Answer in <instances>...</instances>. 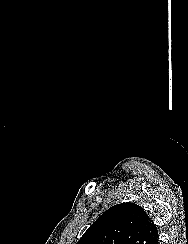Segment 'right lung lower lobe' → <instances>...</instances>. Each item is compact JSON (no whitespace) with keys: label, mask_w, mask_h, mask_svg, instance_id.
<instances>
[{"label":"right lung lower lobe","mask_w":188,"mask_h":244,"mask_svg":"<svg viewBox=\"0 0 188 244\" xmlns=\"http://www.w3.org/2000/svg\"><path fill=\"white\" fill-rule=\"evenodd\" d=\"M150 244H159L158 235L150 242Z\"/></svg>","instance_id":"right-lung-lower-lobe-1"}]
</instances>
